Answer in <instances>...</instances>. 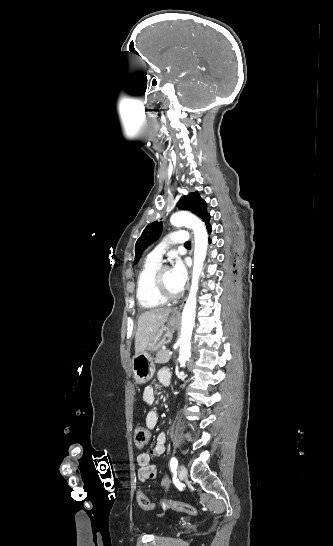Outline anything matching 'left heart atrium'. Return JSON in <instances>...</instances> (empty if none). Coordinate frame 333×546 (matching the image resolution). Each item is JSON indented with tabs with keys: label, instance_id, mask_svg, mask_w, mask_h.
Instances as JSON below:
<instances>
[{
	"label": "left heart atrium",
	"instance_id": "left-heart-atrium-1",
	"mask_svg": "<svg viewBox=\"0 0 333 546\" xmlns=\"http://www.w3.org/2000/svg\"><path fill=\"white\" fill-rule=\"evenodd\" d=\"M170 274L173 286L176 291H182L187 281V269L185 264L180 259H175L173 266L170 270Z\"/></svg>",
	"mask_w": 333,
	"mask_h": 546
}]
</instances>
